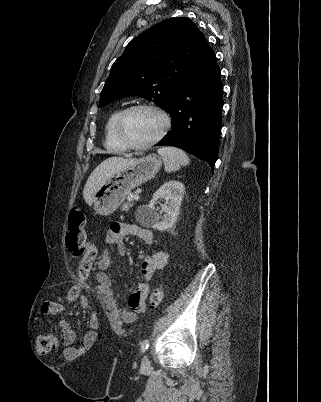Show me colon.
Here are the masks:
<instances>
[{
	"label": "colon",
	"instance_id": "1",
	"mask_svg": "<svg viewBox=\"0 0 321 402\" xmlns=\"http://www.w3.org/2000/svg\"><path fill=\"white\" fill-rule=\"evenodd\" d=\"M68 232L65 237V244L68 251L78 259L77 275L79 277L77 285H71L68 300L75 301L78 294H84L85 287L83 284L89 277L92 266L94 264L97 250L96 246L89 242L86 237V216L82 209L74 208L68 215ZM164 297V288L157 287L150 294V304L152 306L159 305ZM135 310H143L145 300L139 299L130 303ZM60 340L56 331L50 330L38 338V351L41 353H50L56 350Z\"/></svg>",
	"mask_w": 321,
	"mask_h": 402
}]
</instances>
